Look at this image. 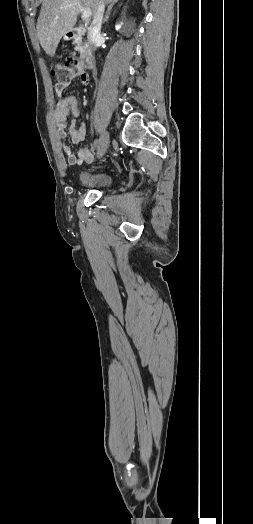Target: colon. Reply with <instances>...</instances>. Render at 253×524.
Wrapping results in <instances>:
<instances>
[{"mask_svg": "<svg viewBox=\"0 0 253 524\" xmlns=\"http://www.w3.org/2000/svg\"><path fill=\"white\" fill-rule=\"evenodd\" d=\"M51 73L55 77L57 90H64L73 78L80 86H87L90 82L86 70L82 68L81 61L77 60L73 53H66L62 62L54 63Z\"/></svg>", "mask_w": 253, "mask_h": 524, "instance_id": "1", "label": "colon"}]
</instances>
